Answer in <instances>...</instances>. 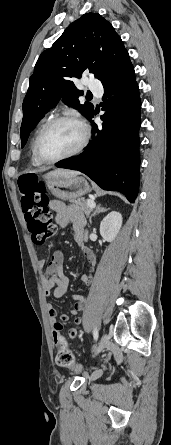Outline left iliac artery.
<instances>
[{"instance_id":"left-iliac-artery-1","label":"left iliac artery","mask_w":171,"mask_h":445,"mask_svg":"<svg viewBox=\"0 0 171 445\" xmlns=\"http://www.w3.org/2000/svg\"><path fill=\"white\" fill-rule=\"evenodd\" d=\"M98 336H99L98 329L95 328L94 331H93V337H94V340H95V341H97Z\"/></svg>"}]
</instances>
